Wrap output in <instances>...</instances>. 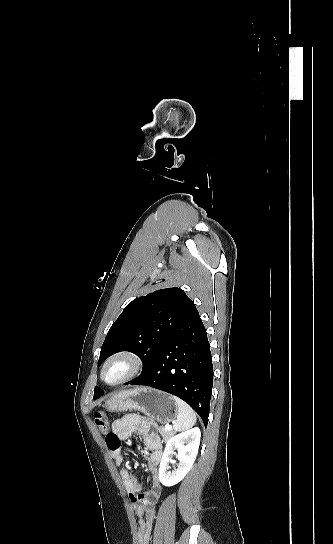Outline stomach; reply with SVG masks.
Here are the masks:
<instances>
[{"instance_id":"obj_1","label":"stomach","mask_w":333,"mask_h":544,"mask_svg":"<svg viewBox=\"0 0 333 544\" xmlns=\"http://www.w3.org/2000/svg\"><path fill=\"white\" fill-rule=\"evenodd\" d=\"M105 407L112 412L140 411L159 423L173 421L178 412L173 396L148 387L118 392L106 401Z\"/></svg>"}]
</instances>
